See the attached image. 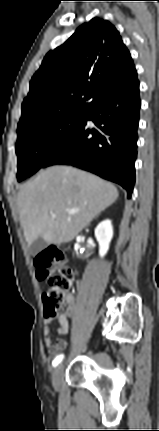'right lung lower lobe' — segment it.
Instances as JSON below:
<instances>
[{"label":"right lung lower lobe","instance_id":"right-lung-lower-lobe-1","mask_svg":"<svg viewBox=\"0 0 159 431\" xmlns=\"http://www.w3.org/2000/svg\"><path fill=\"white\" fill-rule=\"evenodd\" d=\"M139 81L103 99L83 123L46 159L44 166L67 164L121 185L131 197L135 182L139 124ZM92 120L95 128L86 126Z\"/></svg>","mask_w":159,"mask_h":431}]
</instances>
